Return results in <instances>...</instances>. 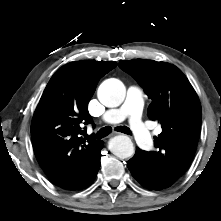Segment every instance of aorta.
Wrapping results in <instances>:
<instances>
[{
    "mask_svg": "<svg viewBox=\"0 0 221 221\" xmlns=\"http://www.w3.org/2000/svg\"><path fill=\"white\" fill-rule=\"evenodd\" d=\"M126 89L124 84L115 78L103 81L97 91L99 101L106 107H117L125 99ZM110 151L120 159L132 157L134 146L131 139L125 135H118L109 143Z\"/></svg>",
    "mask_w": 221,
    "mask_h": 221,
    "instance_id": "aorta-1",
    "label": "aorta"
}]
</instances>
